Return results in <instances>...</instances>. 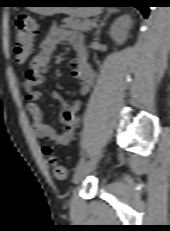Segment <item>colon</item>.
<instances>
[{
	"instance_id": "1",
	"label": "colon",
	"mask_w": 170,
	"mask_h": 231,
	"mask_svg": "<svg viewBox=\"0 0 170 231\" xmlns=\"http://www.w3.org/2000/svg\"><path fill=\"white\" fill-rule=\"evenodd\" d=\"M15 33L14 56L19 64H23L35 48V38L37 34L35 20L28 13H21L15 21ZM42 151L49 159L53 175L60 180L66 179L68 177V171L64 166L56 162L53 157L52 148L50 146H44Z\"/></svg>"
}]
</instances>
